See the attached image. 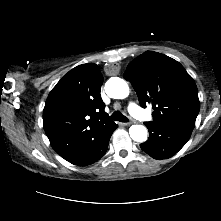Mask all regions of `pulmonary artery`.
Masks as SVG:
<instances>
[{
	"instance_id": "pulmonary-artery-1",
	"label": "pulmonary artery",
	"mask_w": 221,
	"mask_h": 221,
	"mask_svg": "<svg viewBox=\"0 0 221 221\" xmlns=\"http://www.w3.org/2000/svg\"><path fill=\"white\" fill-rule=\"evenodd\" d=\"M128 111L130 112L131 115H133L138 120L150 121L152 119L150 114H148L146 111H144L134 102H130L128 104Z\"/></svg>"
}]
</instances>
